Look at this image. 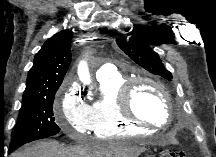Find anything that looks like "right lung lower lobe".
<instances>
[{
  "label": "right lung lower lobe",
  "instance_id": "98d812e1",
  "mask_svg": "<svg viewBox=\"0 0 216 157\" xmlns=\"http://www.w3.org/2000/svg\"><path fill=\"white\" fill-rule=\"evenodd\" d=\"M13 150H14V149L10 148V149H9V153H11Z\"/></svg>",
  "mask_w": 216,
  "mask_h": 157
}]
</instances>
